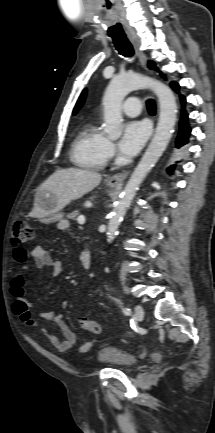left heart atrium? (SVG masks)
Here are the masks:
<instances>
[{"mask_svg":"<svg viewBox=\"0 0 215 433\" xmlns=\"http://www.w3.org/2000/svg\"><path fill=\"white\" fill-rule=\"evenodd\" d=\"M149 135V127L143 121L133 120L124 125L119 148L123 155L134 156L145 144Z\"/></svg>","mask_w":215,"mask_h":433,"instance_id":"left-heart-atrium-1","label":"left heart atrium"}]
</instances>
